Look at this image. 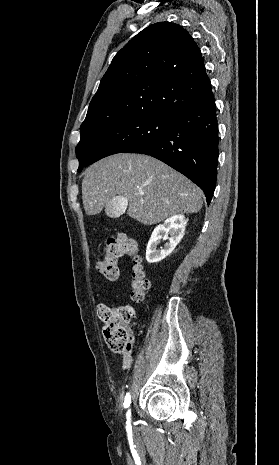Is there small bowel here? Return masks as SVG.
<instances>
[{
  "label": "small bowel",
  "instance_id": "obj_1",
  "mask_svg": "<svg viewBox=\"0 0 279 465\" xmlns=\"http://www.w3.org/2000/svg\"><path fill=\"white\" fill-rule=\"evenodd\" d=\"M132 355L130 353H126V354H123L122 356V368L124 370L130 368L131 364H132Z\"/></svg>",
  "mask_w": 279,
  "mask_h": 465
}]
</instances>
